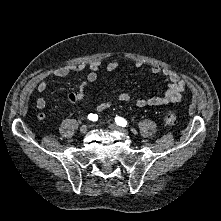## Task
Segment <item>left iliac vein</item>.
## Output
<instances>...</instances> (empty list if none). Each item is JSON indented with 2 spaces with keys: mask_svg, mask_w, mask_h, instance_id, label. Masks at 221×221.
<instances>
[{
  "mask_svg": "<svg viewBox=\"0 0 221 221\" xmlns=\"http://www.w3.org/2000/svg\"><path fill=\"white\" fill-rule=\"evenodd\" d=\"M109 129L112 130V131H119L123 134H128V131L122 127H120L119 125L117 124H110L109 126Z\"/></svg>",
  "mask_w": 221,
  "mask_h": 221,
  "instance_id": "4c4485c4",
  "label": "left iliac vein"
}]
</instances>
